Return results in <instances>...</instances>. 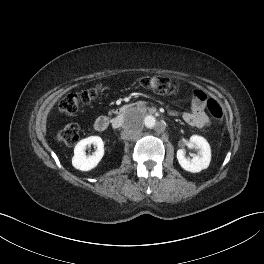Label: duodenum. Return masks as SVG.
Returning a JSON list of instances; mask_svg holds the SVG:
<instances>
[{
	"label": "duodenum",
	"instance_id": "duodenum-1",
	"mask_svg": "<svg viewBox=\"0 0 264 264\" xmlns=\"http://www.w3.org/2000/svg\"><path fill=\"white\" fill-rule=\"evenodd\" d=\"M134 107V104H128L120 107L118 109V115H123L126 113L128 110ZM148 112L155 114L156 110L154 108H148ZM110 125V118L108 116H101L99 117L95 123H94V129L98 132H103L105 131Z\"/></svg>",
	"mask_w": 264,
	"mask_h": 264
}]
</instances>
